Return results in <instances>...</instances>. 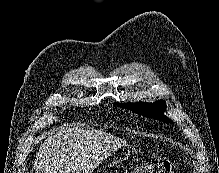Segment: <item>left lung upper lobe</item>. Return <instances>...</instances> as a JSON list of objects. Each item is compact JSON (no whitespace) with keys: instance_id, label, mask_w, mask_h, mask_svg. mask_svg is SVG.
Masks as SVG:
<instances>
[{"instance_id":"left-lung-upper-lobe-1","label":"left lung upper lobe","mask_w":219,"mask_h":173,"mask_svg":"<svg viewBox=\"0 0 219 173\" xmlns=\"http://www.w3.org/2000/svg\"><path fill=\"white\" fill-rule=\"evenodd\" d=\"M118 106L134 111L139 115L146 117H152L166 123H173L168 117H166L163 112L166 109V102L164 100H159L155 103H116Z\"/></svg>"}]
</instances>
